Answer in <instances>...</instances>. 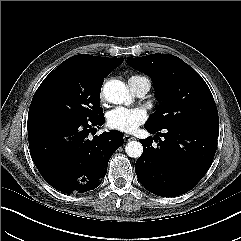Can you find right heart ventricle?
I'll return each mask as SVG.
<instances>
[{
	"label": "right heart ventricle",
	"mask_w": 241,
	"mask_h": 241,
	"mask_svg": "<svg viewBox=\"0 0 241 241\" xmlns=\"http://www.w3.org/2000/svg\"><path fill=\"white\" fill-rule=\"evenodd\" d=\"M147 79L146 77L144 76H141V75H133L129 78V83L131 82H137V81H141V80H145ZM148 80V79H147Z\"/></svg>",
	"instance_id": "e07e8e85"
}]
</instances>
